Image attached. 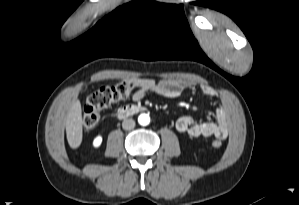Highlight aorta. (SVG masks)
I'll return each instance as SVG.
<instances>
[{
    "label": "aorta",
    "mask_w": 299,
    "mask_h": 205,
    "mask_svg": "<svg viewBox=\"0 0 299 205\" xmlns=\"http://www.w3.org/2000/svg\"><path fill=\"white\" fill-rule=\"evenodd\" d=\"M138 122L142 126H146L150 123V117L148 114L142 113L138 117Z\"/></svg>",
    "instance_id": "obj_1"
}]
</instances>
